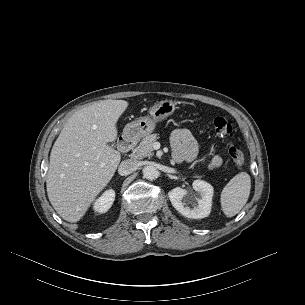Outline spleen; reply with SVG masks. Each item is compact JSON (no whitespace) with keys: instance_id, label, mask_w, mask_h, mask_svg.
Instances as JSON below:
<instances>
[{"instance_id":"1","label":"spleen","mask_w":305,"mask_h":305,"mask_svg":"<svg viewBox=\"0 0 305 305\" xmlns=\"http://www.w3.org/2000/svg\"><path fill=\"white\" fill-rule=\"evenodd\" d=\"M251 189V179L248 173L235 175L221 192V208L225 216L233 217L246 204Z\"/></svg>"}]
</instances>
